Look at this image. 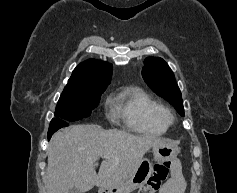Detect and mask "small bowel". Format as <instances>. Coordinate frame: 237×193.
<instances>
[{
    "mask_svg": "<svg viewBox=\"0 0 237 193\" xmlns=\"http://www.w3.org/2000/svg\"><path fill=\"white\" fill-rule=\"evenodd\" d=\"M186 181L182 175L181 168L175 161L172 162V176L163 185L160 193H184Z\"/></svg>",
    "mask_w": 237,
    "mask_h": 193,
    "instance_id": "obj_1",
    "label": "small bowel"
}]
</instances>
